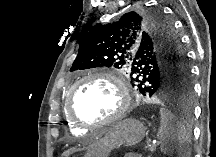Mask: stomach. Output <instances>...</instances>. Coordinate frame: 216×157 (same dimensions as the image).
<instances>
[{
  "instance_id": "obj_1",
  "label": "stomach",
  "mask_w": 216,
  "mask_h": 157,
  "mask_svg": "<svg viewBox=\"0 0 216 157\" xmlns=\"http://www.w3.org/2000/svg\"><path fill=\"white\" fill-rule=\"evenodd\" d=\"M146 128L135 119H125L97 138L88 148L84 157H109L112 150L120 145H134L145 136Z\"/></svg>"
}]
</instances>
